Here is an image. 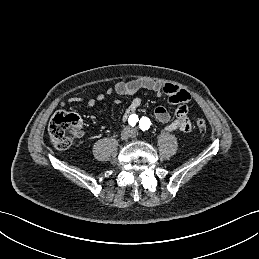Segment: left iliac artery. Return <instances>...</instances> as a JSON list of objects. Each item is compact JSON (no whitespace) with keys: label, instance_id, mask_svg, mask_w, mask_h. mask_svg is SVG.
<instances>
[{"label":"left iliac artery","instance_id":"obj_1","mask_svg":"<svg viewBox=\"0 0 259 259\" xmlns=\"http://www.w3.org/2000/svg\"><path fill=\"white\" fill-rule=\"evenodd\" d=\"M150 125H151V122H150V119H149V118H147V117H142V118L140 119L139 126H140V129H141L142 131L148 130L149 127H150Z\"/></svg>","mask_w":259,"mask_h":259}]
</instances>
